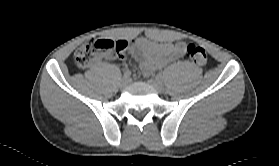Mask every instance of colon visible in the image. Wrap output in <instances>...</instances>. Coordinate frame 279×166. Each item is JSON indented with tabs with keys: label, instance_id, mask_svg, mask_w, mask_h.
I'll list each match as a JSON object with an SVG mask.
<instances>
[{
	"label": "colon",
	"instance_id": "colon-1",
	"mask_svg": "<svg viewBox=\"0 0 279 166\" xmlns=\"http://www.w3.org/2000/svg\"><path fill=\"white\" fill-rule=\"evenodd\" d=\"M128 43L124 40L91 39L78 48L75 52V62L81 67L91 66L97 59L112 53H123ZM187 55L196 65H205L207 53L204 48L196 44H189L186 48Z\"/></svg>",
	"mask_w": 279,
	"mask_h": 166
}]
</instances>
